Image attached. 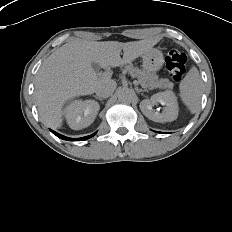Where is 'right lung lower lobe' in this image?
Wrapping results in <instances>:
<instances>
[{
    "label": "right lung lower lobe",
    "mask_w": 232,
    "mask_h": 232,
    "mask_svg": "<svg viewBox=\"0 0 232 232\" xmlns=\"http://www.w3.org/2000/svg\"><path fill=\"white\" fill-rule=\"evenodd\" d=\"M53 134H55L57 137L61 138V139H64V140H69V141H81V140H85V139H88L90 137H92L94 134L92 135H89V136H86V137H82V138H68V137H65L63 135H60L58 134L57 132L53 131Z\"/></svg>",
    "instance_id": "98d812e1"
}]
</instances>
